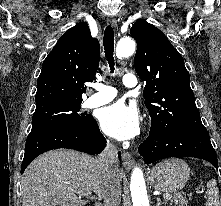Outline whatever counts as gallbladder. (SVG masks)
<instances>
[{"mask_svg": "<svg viewBox=\"0 0 221 206\" xmlns=\"http://www.w3.org/2000/svg\"><path fill=\"white\" fill-rule=\"evenodd\" d=\"M74 201H75V202H78V201H79V198H78V197H75V198H74Z\"/></svg>", "mask_w": 221, "mask_h": 206, "instance_id": "obj_1", "label": "gallbladder"}]
</instances>
